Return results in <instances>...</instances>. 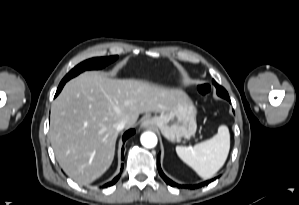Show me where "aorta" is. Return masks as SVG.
Listing matches in <instances>:
<instances>
[{
	"label": "aorta",
	"instance_id": "762f6f07",
	"mask_svg": "<svg viewBox=\"0 0 299 205\" xmlns=\"http://www.w3.org/2000/svg\"><path fill=\"white\" fill-rule=\"evenodd\" d=\"M141 144L146 148H153L157 145V136L153 132H144L140 138Z\"/></svg>",
	"mask_w": 299,
	"mask_h": 205
}]
</instances>
